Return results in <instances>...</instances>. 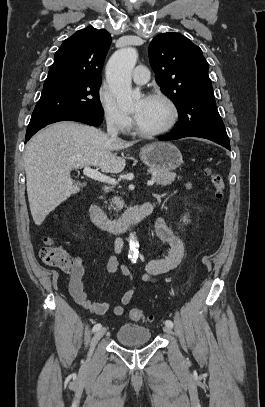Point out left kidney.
Wrapping results in <instances>:
<instances>
[{
	"label": "left kidney",
	"mask_w": 265,
	"mask_h": 407,
	"mask_svg": "<svg viewBox=\"0 0 265 407\" xmlns=\"http://www.w3.org/2000/svg\"><path fill=\"white\" fill-rule=\"evenodd\" d=\"M186 221L188 222V220L186 219V217H184V218H183V222H186Z\"/></svg>",
	"instance_id": "obj_1"
}]
</instances>
